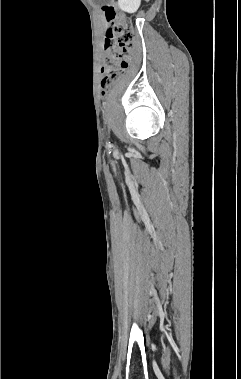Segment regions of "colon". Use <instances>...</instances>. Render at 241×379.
<instances>
[{
	"instance_id": "1",
	"label": "colon",
	"mask_w": 241,
	"mask_h": 379,
	"mask_svg": "<svg viewBox=\"0 0 241 379\" xmlns=\"http://www.w3.org/2000/svg\"><path fill=\"white\" fill-rule=\"evenodd\" d=\"M102 11L110 22L109 32L105 41L108 50L102 67V89L109 90L130 66L134 53V32L131 26L125 24L113 3L105 4Z\"/></svg>"
}]
</instances>
